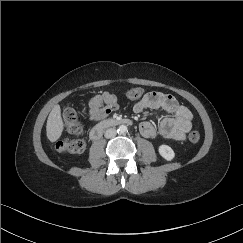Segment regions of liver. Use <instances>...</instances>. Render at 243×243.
<instances>
[{
  "label": "liver",
  "mask_w": 243,
  "mask_h": 243,
  "mask_svg": "<svg viewBox=\"0 0 243 243\" xmlns=\"http://www.w3.org/2000/svg\"><path fill=\"white\" fill-rule=\"evenodd\" d=\"M64 124L61 117V108L55 105L47 119L46 134L51 142L58 140L63 132Z\"/></svg>",
  "instance_id": "obj_1"
}]
</instances>
